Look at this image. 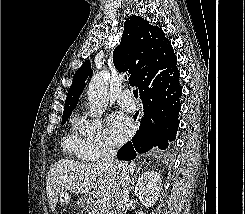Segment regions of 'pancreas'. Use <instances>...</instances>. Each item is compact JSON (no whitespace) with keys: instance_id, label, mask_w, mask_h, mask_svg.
I'll return each instance as SVG.
<instances>
[{"instance_id":"obj_1","label":"pancreas","mask_w":245,"mask_h":214,"mask_svg":"<svg viewBox=\"0 0 245 214\" xmlns=\"http://www.w3.org/2000/svg\"><path fill=\"white\" fill-rule=\"evenodd\" d=\"M92 214H113L112 207L111 206L103 207L100 204V201H96L93 203L92 206Z\"/></svg>"}]
</instances>
